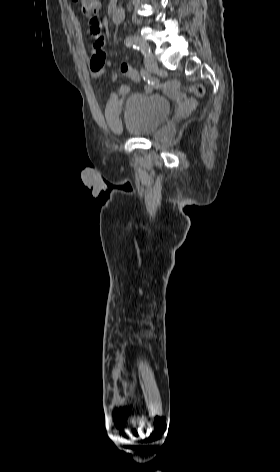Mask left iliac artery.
Returning a JSON list of instances; mask_svg holds the SVG:
<instances>
[{
	"label": "left iliac artery",
	"instance_id": "obj_1",
	"mask_svg": "<svg viewBox=\"0 0 280 472\" xmlns=\"http://www.w3.org/2000/svg\"><path fill=\"white\" fill-rule=\"evenodd\" d=\"M124 42L126 46L140 50L142 53L147 50L146 45L136 36H128Z\"/></svg>",
	"mask_w": 280,
	"mask_h": 472
}]
</instances>
